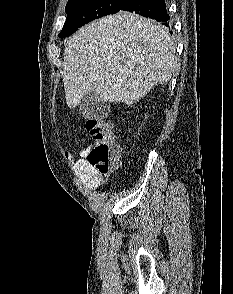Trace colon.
<instances>
[{
    "instance_id": "obj_1",
    "label": "colon",
    "mask_w": 233,
    "mask_h": 294,
    "mask_svg": "<svg viewBox=\"0 0 233 294\" xmlns=\"http://www.w3.org/2000/svg\"><path fill=\"white\" fill-rule=\"evenodd\" d=\"M86 128L93 140L86 159L97 173L106 175L117 167L121 153L112 126L104 120L90 119L86 122Z\"/></svg>"
}]
</instances>
